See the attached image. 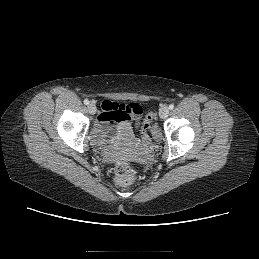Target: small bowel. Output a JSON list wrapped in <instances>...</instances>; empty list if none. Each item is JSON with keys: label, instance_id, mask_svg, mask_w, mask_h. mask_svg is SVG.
<instances>
[{"label": "small bowel", "instance_id": "small-bowel-1", "mask_svg": "<svg viewBox=\"0 0 259 259\" xmlns=\"http://www.w3.org/2000/svg\"><path fill=\"white\" fill-rule=\"evenodd\" d=\"M142 113L143 109L137 103L118 104L105 100L97 118V133L100 137H106L110 131L117 129L127 135L137 126Z\"/></svg>", "mask_w": 259, "mask_h": 259}]
</instances>
